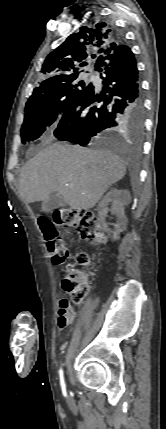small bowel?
Segmentation results:
<instances>
[{"label":"small bowel","mask_w":166,"mask_h":429,"mask_svg":"<svg viewBox=\"0 0 166 429\" xmlns=\"http://www.w3.org/2000/svg\"><path fill=\"white\" fill-rule=\"evenodd\" d=\"M57 324L60 330L68 326L75 318V311L67 299L62 298L58 302Z\"/></svg>","instance_id":"obj_1"}]
</instances>
